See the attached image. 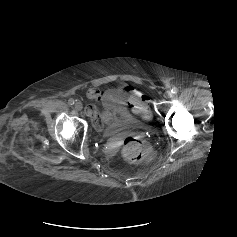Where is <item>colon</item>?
I'll return each mask as SVG.
<instances>
[{"mask_svg": "<svg viewBox=\"0 0 237 237\" xmlns=\"http://www.w3.org/2000/svg\"><path fill=\"white\" fill-rule=\"evenodd\" d=\"M123 155L128 161L142 162L153 159L156 153L145 139L128 136L123 143Z\"/></svg>", "mask_w": 237, "mask_h": 237, "instance_id": "obj_1", "label": "colon"}]
</instances>
